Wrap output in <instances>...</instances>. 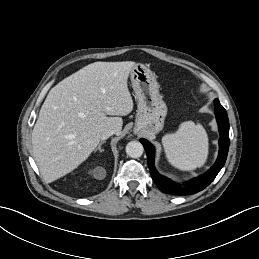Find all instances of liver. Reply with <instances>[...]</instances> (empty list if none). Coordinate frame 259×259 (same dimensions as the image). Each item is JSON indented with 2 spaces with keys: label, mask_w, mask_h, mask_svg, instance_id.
<instances>
[{
  "label": "liver",
  "mask_w": 259,
  "mask_h": 259,
  "mask_svg": "<svg viewBox=\"0 0 259 259\" xmlns=\"http://www.w3.org/2000/svg\"><path fill=\"white\" fill-rule=\"evenodd\" d=\"M135 65L94 62L50 90L32 132L33 157L46 182L84 162L106 129L121 134L119 116L129 114L134 106L127 79Z\"/></svg>",
  "instance_id": "1"
}]
</instances>
